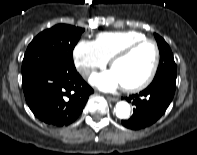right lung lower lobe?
Returning <instances> with one entry per match:
<instances>
[{"label":"right lung lower lobe","instance_id":"1","mask_svg":"<svg viewBox=\"0 0 197 155\" xmlns=\"http://www.w3.org/2000/svg\"><path fill=\"white\" fill-rule=\"evenodd\" d=\"M26 102L34 115L47 124L67 126L82 112L93 89L75 66L46 68L23 81Z\"/></svg>","mask_w":197,"mask_h":155}]
</instances>
